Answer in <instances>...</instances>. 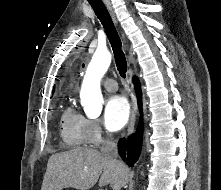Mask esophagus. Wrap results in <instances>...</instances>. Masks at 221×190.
I'll use <instances>...</instances> for the list:
<instances>
[{
    "instance_id": "34e87169",
    "label": "esophagus",
    "mask_w": 221,
    "mask_h": 190,
    "mask_svg": "<svg viewBox=\"0 0 221 190\" xmlns=\"http://www.w3.org/2000/svg\"><path fill=\"white\" fill-rule=\"evenodd\" d=\"M104 3L106 5V8L108 9L113 21L117 24V20L113 11V8L111 6V3L109 0H104ZM128 84L131 86V113L127 128V135H130L133 132L135 120H136V112H137V104H136V96L133 91V85H132V70L129 68L128 70Z\"/></svg>"
}]
</instances>
